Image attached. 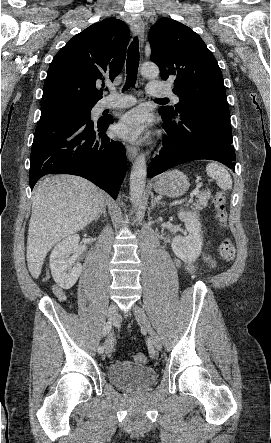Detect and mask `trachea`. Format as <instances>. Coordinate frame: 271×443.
I'll return each instance as SVG.
<instances>
[{
    "instance_id": "1",
    "label": "trachea",
    "mask_w": 271,
    "mask_h": 443,
    "mask_svg": "<svg viewBox=\"0 0 271 443\" xmlns=\"http://www.w3.org/2000/svg\"><path fill=\"white\" fill-rule=\"evenodd\" d=\"M139 66V45L138 39L134 38L133 42L128 48V55L126 60V83L122 91L127 90L130 87H134L137 80V72ZM157 101H169L168 98H160Z\"/></svg>"
}]
</instances>
